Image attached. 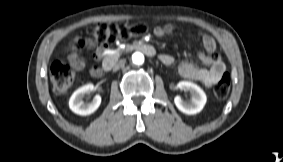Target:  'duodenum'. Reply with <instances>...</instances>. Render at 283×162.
<instances>
[{
    "mask_svg": "<svg viewBox=\"0 0 283 162\" xmlns=\"http://www.w3.org/2000/svg\"><path fill=\"white\" fill-rule=\"evenodd\" d=\"M132 50L142 51L143 53H145L148 56H154L155 53H156L154 47L151 46L148 43H145V42H134V43L128 44L124 48L118 49L115 52V54L109 56V59H106L105 61H103V68H104L105 72H110V71L113 70V68H114L113 61L115 60L116 56H118L119 54H121L124 51H132Z\"/></svg>",
    "mask_w": 283,
    "mask_h": 162,
    "instance_id": "duodenum-1",
    "label": "duodenum"
}]
</instances>
